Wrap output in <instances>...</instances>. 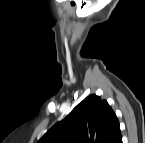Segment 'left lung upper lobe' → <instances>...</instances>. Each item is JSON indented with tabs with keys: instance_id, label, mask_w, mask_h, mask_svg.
I'll use <instances>...</instances> for the list:
<instances>
[{
	"instance_id": "1",
	"label": "left lung upper lobe",
	"mask_w": 145,
	"mask_h": 143,
	"mask_svg": "<svg viewBox=\"0 0 145 143\" xmlns=\"http://www.w3.org/2000/svg\"><path fill=\"white\" fill-rule=\"evenodd\" d=\"M119 136L116 114L105 100L93 94L55 124L39 143H114Z\"/></svg>"
}]
</instances>
